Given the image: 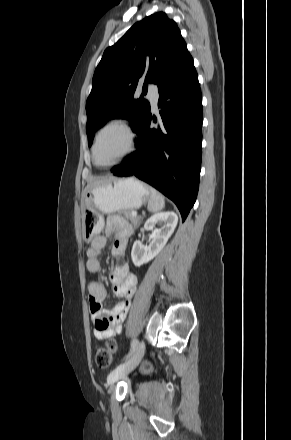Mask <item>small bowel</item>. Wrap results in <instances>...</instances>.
Here are the masks:
<instances>
[{
    "mask_svg": "<svg viewBox=\"0 0 291 440\" xmlns=\"http://www.w3.org/2000/svg\"><path fill=\"white\" fill-rule=\"evenodd\" d=\"M106 236L96 237L86 251V268L93 273L101 269L99 255L106 246L107 236L113 240V253L120 260V265L111 274L113 294L124 298L111 310H102L100 302L106 296V288L102 282L95 281L88 285L90 312L94 317V336L105 340L119 333L122 322L130 307L131 299L136 291L137 278L128 274V265L125 262L124 246L131 235L130 225L123 219L109 218L106 223ZM107 321L108 323H105ZM156 366L149 363L143 366V371L154 372Z\"/></svg>",
    "mask_w": 291,
    "mask_h": 440,
    "instance_id": "small-bowel-1",
    "label": "small bowel"
}]
</instances>
